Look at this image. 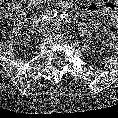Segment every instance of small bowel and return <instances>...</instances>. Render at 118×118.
<instances>
[{"instance_id": "1", "label": "small bowel", "mask_w": 118, "mask_h": 118, "mask_svg": "<svg viewBox=\"0 0 118 118\" xmlns=\"http://www.w3.org/2000/svg\"><path fill=\"white\" fill-rule=\"evenodd\" d=\"M47 1L52 2L54 0H47ZM57 4L61 7H69V5H70L69 3L63 2V1H59V2H57ZM92 12L93 11H89L90 16L92 15ZM103 14L105 15L106 18H108L110 20V22L113 26L118 28V4L117 3L112 2V3L107 4L104 7Z\"/></svg>"}]
</instances>
